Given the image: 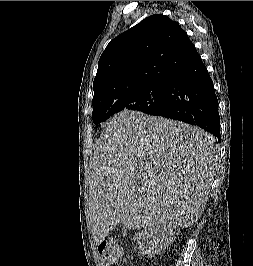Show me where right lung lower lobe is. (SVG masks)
<instances>
[{
	"instance_id": "1",
	"label": "right lung lower lobe",
	"mask_w": 253,
	"mask_h": 266,
	"mask_svg": "<svg viewBox=\"0 0 253 266\" xmlns=\"http://www.w3.org/2000/svg\"><path fill=\"white\" fill-rule=\"evenodd\" d=\"M153 115L199 126L221 142L218 100L200 57L167 80L163 106Z\"/></svg>"
}]
</instances>
